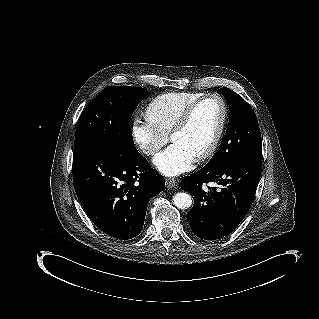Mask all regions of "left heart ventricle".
I'll return each mask as SVG.
<instances>
[{
    "label": "left heart ventricle",
    "instance_id": "b2bd125f",
    "mask_svg": "<svg viewBox=\"0 0 319 319\" xmlns=\"http://www.w3.org/2000/svg\"><path fill=\"white\" fill-rule=\"evenodd\" d=\"M218 117V104L212 100L204 102L193 111L188 122L176 135V140L194 154L201 151L211 140Z\"/></svg>",
    "mask_w": 319,
    "mask_h": 319
}]
</instances>
